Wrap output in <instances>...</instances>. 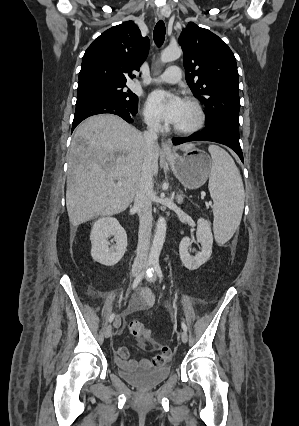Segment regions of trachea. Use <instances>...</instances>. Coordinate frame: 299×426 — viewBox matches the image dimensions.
Returning <instances> with one entry per match:
<instances>
[{
	"label": "trachea",
	"mask_w": 299,
	"mask_h": 426,
	"mask_svg": "<svg viewBox=\"0 0 299 426\" xmlns=\"http://www.w3.org/2000/svg\"><path fill=\"white\" fill-rule=\"evenodd\" d=\"M165 33H166L165 24L162 20H160L156 24L154 28V32H153L154 41L158 47H160L163 44L165 39Z\"/></svg>",
	"instance_id": "3493384b"
}]
</instances>
